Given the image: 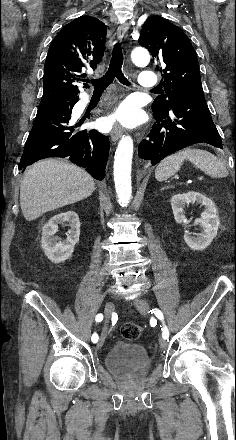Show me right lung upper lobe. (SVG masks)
<instances>
[{"label":"right lung upper lobe","mask_w":236,"mask_h":440,"mask_svg":"<svg viewBox=\"0 0 236 440\" xmlns=\"http://www.w3.org/2000/svg\"><path fill=\"white\" fill-rule=\"evenodd\" d=\"M106 34L107 26L90 16H81L61 29L48 50L40 104L78 98L77 84L85 81V72L95 70L103 58Z\"/></svg>","instance_id":"obj_1"}]
</instances>
